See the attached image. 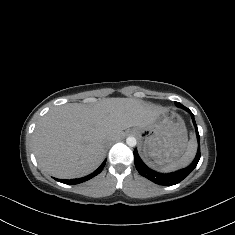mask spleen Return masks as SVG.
Segmentation results:
<instances>
[{
	"label": "spleen",
	"mask_w": 235,
	"mask_h": 235,
	"mask_svg": "<svg viewBox=\"0 0 235 235\" xmlns=\"http://www.w3.org/2000/svg\"><path fill=\"white\" fill-rule=\"evenodd\" d=\"M196 148H197L196 141L191 139L187 145V148H186L184 154L180 158L173 160V161L165 164L164 166H162L160 168H156V169L159 171H162V172H168V171H173V170H176L180 167L186 166L193 159L195 152H196Z\"/></svg>",
	"instance_id": "obj_1"
}]
</instances>
